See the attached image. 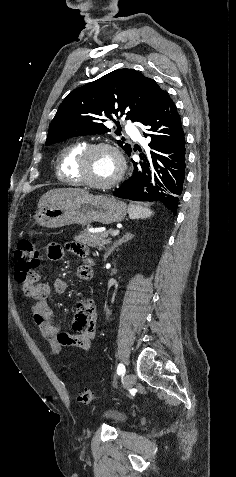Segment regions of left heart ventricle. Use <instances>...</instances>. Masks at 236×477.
<instances>
[{
	"label": "left heart ventricle",
	"mask_w": 236,
	"mask_h": 477,
	"mask_svg": "<svg viewBox=\"0 0 236 477\" xmlns=\"http://www.w3.org/2000/svg\"><path fill=\"white\" fill-rule=\"evenodd\" d=\"M117 172L118 162L110 150H96L87 161L86 176L94 182L110 181Z\"/></svg>",
	"instance_id": "obj_1"
}]
</instances>
